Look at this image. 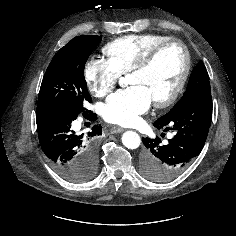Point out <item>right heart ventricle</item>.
Masks as SVG:
<instances>
[{"label":"right heart ventricle","mask_w":236,"mask_h":236,"mask_svg":"<svg viewBox=\"0 0 236 236\" xmlns=\"http://www.w3.org/2000/svg\"><path fill=\"white\" fill-rule=\"evenodd\" d=\"M164 34L147 33L140 35H126L117 38L103 47L108 61L120 74L129 72L146 53L155 45L170 39Z\"/></svg>","instance_id":"1"}]
</instances>
